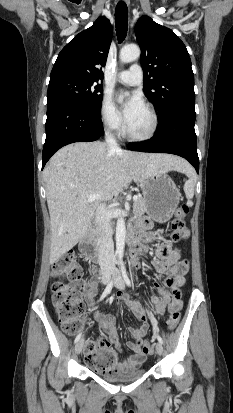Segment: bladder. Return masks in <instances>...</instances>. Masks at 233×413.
I'll return each instance as SVG.
<instances>
[{"label": "bladder", "mask_w": 233, "mask_h": 413, "mask_svg": "<svg viewBox=\"0 0 233 413\" xmlns=\"http://www.w3.org/2000/svg\"><path fill=\"white\" fill-rule=\"evenodd\" d=\"M142 368H132L115 374H100L105 380L110 382H126L138 379L145 374Z\"/></svg>", "instance_id": "1"}]
</instances>
